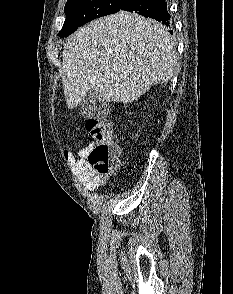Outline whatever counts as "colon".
Wrapping results in <instances>:
<instances>
[{
	"label": "colon",
	"instance_id": "1",
	"mask_svg": "<svg viewBox=\"0 0 233 294\" xmlns=\"http://www.w3.org/2000/svg\"><path fill=\"white\" fill-rule=\"evenodd\" d=\"M85 126L93 139L87 161L97 174L105 176L117 168L120 146L108 121L88 119Z\"/></svg>",
	"mask_w": 233,
	"mask_h": 294
}]
</instances>
